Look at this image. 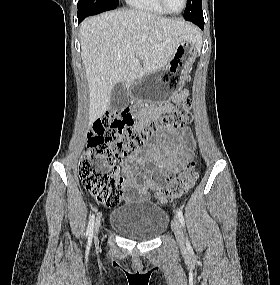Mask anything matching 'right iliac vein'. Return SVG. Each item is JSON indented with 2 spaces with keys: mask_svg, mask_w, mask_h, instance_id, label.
<instances>
[{
  "mask_svg": "<svg viewBox=\"0 0 280 285\" xmlns=\"http://www.w3.org/2000/svg\"><path fill=\"white\" fill-rule=\"evenodd\" d=\"M99 227H100V219H98L97 220V222H96V226H95V236H96V234L98 233V231H99Z\"/></svg>",
  "mask_w": 280,
  "mask_h": 285,
  "instance_id": "1",
  "label": "right iliac vein"
}]
</instances>
